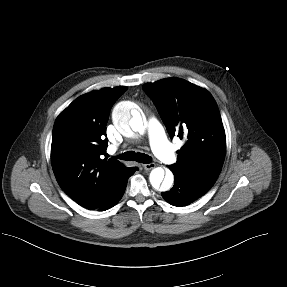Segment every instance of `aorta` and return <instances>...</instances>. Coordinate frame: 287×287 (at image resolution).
Wrapping results in <instances>:
<instances>
[{
  "label": "aorta",
  "mask_w": 287,
  "mask_h": 287,
  "mask_svg": "<svg viewBox=\"0 0 287 287\" xmlns=\"http://www.w3.org/2000/svg\"><path fill=\"white\" fill-rule=\"evenodd\" d=\"M113 123L116 128L122 132L131 129L134 132L143 134L145 126L140 112L137 109L130 108L126 104L117 105L112 113ZM161 167L154 168L149 176V180L153 188L161 191H168L173 186L174 176Z\"/></svg>",
  "instance_id": "762f6f07"
}]
</instances>
